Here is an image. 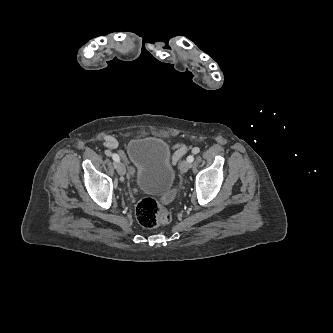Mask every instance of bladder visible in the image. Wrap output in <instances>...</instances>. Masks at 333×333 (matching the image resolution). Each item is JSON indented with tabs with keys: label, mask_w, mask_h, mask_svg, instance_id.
Segmentation results:
<instances>
[{
	"label": "bladder",
	"mask_w": 333,
	"mask_h": 333,
	"mask_svg": "<svg viewBox=\"0 0 333 333\" xmlns=\"http://www.w3.org/2000/svg\"><path fill=\"white\" fill-rule=\"evenodd\" d=\"M127 155L136 168V181L142 190L161 194L173 185L175 173L170 164L167 143L158 137L131 139L126 147Z\"/></svg>",
	"instance_id": "31cf9c89"
}]
</instances>
